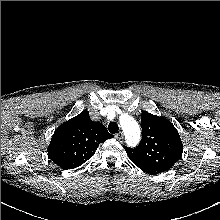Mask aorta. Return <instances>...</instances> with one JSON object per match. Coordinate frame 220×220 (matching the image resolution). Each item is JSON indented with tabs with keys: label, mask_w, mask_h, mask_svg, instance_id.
Returning a JSON list of instances; mask_svg holds the SVG:
<instances>
[{
	"label": "aorta",
	"mask_w": 220,
	"mask_h": 220,
	"mask_svg": "<svg viewBox=\"0 0 220 220\" xmlns=\"http://www.w3.org/2000/svg\"><path fill=\"white\" fill-rule=\"evenodd\" d=\"M119 122L125 134L127 145L130 147H135L139 143L141 135L138 122L128 114L121 115Z\"/></svg>",
	"instance_id": "762f6f07"
}]
</instances>
